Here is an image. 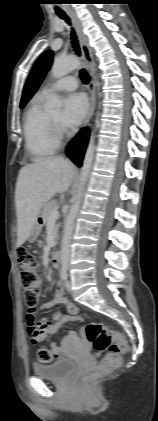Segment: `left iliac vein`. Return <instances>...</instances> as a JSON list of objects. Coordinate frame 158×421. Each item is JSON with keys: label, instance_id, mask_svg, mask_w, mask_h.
Returning <instances> with one entry per match:
<instances>
[{"label": "left iliac vein", "instance_id": "1", "mask_svg": "<svg viewBox=\"0 0 158 421\" xmlns=\"http://www.w3.org/2000/svg\"><path fill=\"white\" fill-rule=\"evenodd\" d=\"M66 288L70 291L71 290V281L67 280L65 283Z\"/></svg>", "mask_w": 158, "mask_h": 421}]
</instances>
